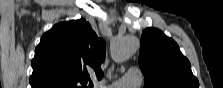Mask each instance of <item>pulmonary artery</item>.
I'll return each instance as SVG.
<instances>
[{"label": "pulmonary artery", "instance_id": "pulmonary-artery-1", "mask_svg": "<svg viewBox=\"0 0 223 88\" xmlns=\"http://www.w3.org/2000/svg\"><path fill=\"white\" fill-rule=\"evenodd\" d=\"M142 83V75L140 70L136 68H131L127 73L117 81H115L111 86L107 88H130L138 87Z\"/></svg>", "mask_w": 223, "mask_h": 88}]
</instances>
